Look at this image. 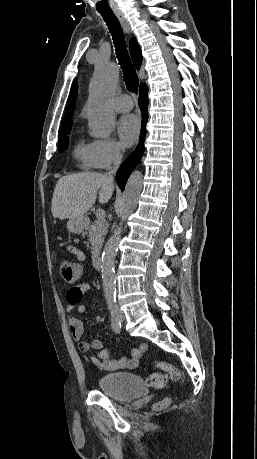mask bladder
I'll use <instances>...</instances> for the list:
<instances>
[{"label":"bladder","mask_w":257,"mask_h":459,"mask_svg":"<svg viewBox=\"0 0 257 459\" xmlns=\"http://www.w3.org/2000/svg\"><path fill=\"white\" fill-rule=\"evenodd\" d=\"M97 387L101 392L120 401H131L148 393L143 380L132 373L103 375L97 379Z\"/></svg>","instance_id":"1"}]
</instances>
